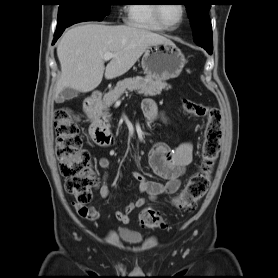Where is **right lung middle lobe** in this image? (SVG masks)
I'll return each mask as SVG.
<instances>
[{
	"label": "right lung middle lobe",
	"mask_w": 278,
	"mask_h": 278,
	"mask_svg": "<svg viewBox=\"0 0 278 278\" xmlns=\"http://www.w3.org/2000/svg\"><path fill=\"white\" fill-rule=\"evenodd\" d=\"M57 28L82 21H101L110 13L113 0H58Z\"/></svg>",
	"instance_id": "dd1d6c3e"
}]
</instances>
